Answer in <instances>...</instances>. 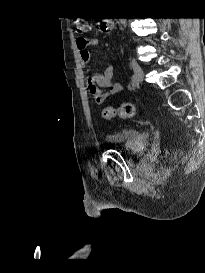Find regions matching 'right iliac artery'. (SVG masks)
<instances>
[{
	"label": "right iliac artery",
	"mask_w": 205,
	"mask_h": 273,
	"mask_svg": "<svg viewBox=\"0 0 205 273\" xmlns=\"http://www.w3.org/2000/svg\"><path fill=\"white\" fill-rule=\"evenodd\" d=\"M131 84H132V86H135V85L138 84L137 81H136L135 76H132V78H131Z\"/></svg>",
	"instance_id": "82829eb1"
}]
</instances>
